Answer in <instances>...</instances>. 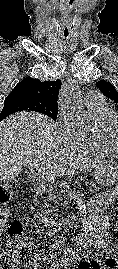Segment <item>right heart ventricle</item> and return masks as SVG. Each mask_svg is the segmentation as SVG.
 Listing matches in <instances>:
<instances>
[{
  "instance_id": "1",
  "label": "right heart ventricle",
  "mask_w": 118,
  "mask_h": 269,
  "mask_svg": "<svg viewBox=\"0 0 118 269\" xmlns=\"http://www.w3.org/2000/svg\"><path fill=\"white\" fill-rule=\"evenodd\" d=\"M96 118L99 127L88 134L86 139L79 145V150L85 154L117 157L118 154L112 149L106 134V123L116 115V112L107 105L104 108L91 111Z\"/></svg>"
}]
</instances>
